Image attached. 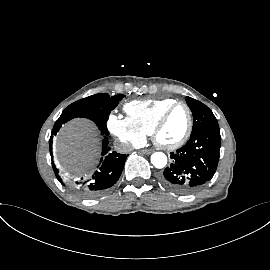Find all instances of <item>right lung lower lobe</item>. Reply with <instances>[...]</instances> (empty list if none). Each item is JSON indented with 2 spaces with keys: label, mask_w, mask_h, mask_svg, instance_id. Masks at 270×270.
<instances>
[{
  "label": "right lung lower lobe",
  "mask_w": 270,
  "mask_h": 270,
  "mask_svg": "<svg viewBox=\"0 0 270 270\" xmlns=\"http://www.w3.org/2000/svg\"><path fill=\"white\" fill-rule=\"evenodd\" d=\"M92 120L101 133L104 136H107L109 134L107 130L106 122L95 119V118H88ZM70 119H58L53 127L51 137L49 140V147H50V154L51 158L53 159L52 155V138L53 135H56V133L59 131L62 124L67 122ZM111 148L108 146V140L105 137L102 141V158L100 159V167L99 170L95 172V174L92 176L91 180H87L85 182L77 183L76 191L86 197H93L97 196L99 194H102L105 192L108 188L113 186L117 180L119 179L124 163L126 161L127 155L125 154H119L115 151L111 152ZM52 167L55 172V175L57 179L62 183V179L58 174V169L53 163L52 160Z\"/></svg>",
  "instance_id": "right-lung-lower-lobe-1"
}]
</instances>
